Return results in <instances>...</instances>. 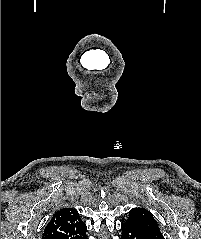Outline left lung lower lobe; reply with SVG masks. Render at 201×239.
I'll return each mask as SVG.
<instances>
[{"label": "left lung lower lobe", "instance_id": "1", "mask_svg": "<svg viewBox=\"0 0 201 239\" xmlns=\"http://www.w3.org/2000/svg\"><path fill=\"white\" fill-rule=\"evenodd\" d=\"M121 230L122 236L120 239H153V237L141 227L130 222L122 223Z\"/></svg>", "mask_w": 201, "mask_h": 239}]
</instances>
